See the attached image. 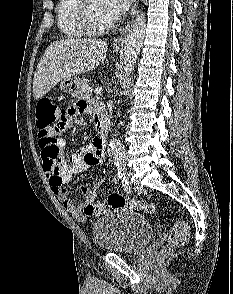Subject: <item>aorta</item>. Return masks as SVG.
I'll return each instance as SVG.
<instances>
[{
	"mask_svg": "<svg viewBox=\"0 0 233 294\" xmlns=\"http://www.w3.org/2000/svg\"><path fill=\"white\" fill-rule=\"evenodd\" d=\"M145 28V13L138 11L126 36L121 68V79L123 80H126L132 73L145 38ZM109 147L114 156L115 164L117 166H124L126 157L122 142L117 138H112Z\"/></svg>",
	"mask_w": 233,
	"mask_h": 294,
	"instance_id": "1",
	"label": "aorta"
}]
</instances>
